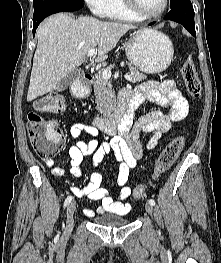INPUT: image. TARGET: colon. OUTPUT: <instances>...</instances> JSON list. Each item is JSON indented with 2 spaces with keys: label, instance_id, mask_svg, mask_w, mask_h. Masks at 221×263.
Returning <instances> with one entry per match:
<instances>
[{
  "label": "colon",
  "instance_id": "5ec220e1",
  "mask_svg": "<svg viewBox=\"0 0 221 263\" xmlns=\"http://www.w3.org/2000/svg\"><path fill=\"white\" fill-rule=\"evenodd\" d=\"M181 75L188 94L192 98H199L202 92V84L195 64L190 58H186L181 65ZM66 108L65 98L58 93H50L38 98L34 102V111L28 114L27 128L30 143L36 154L43 160L52 159L61 147L64 134L53 119H45L39 113H60ZM185 139L183 136L173 138L160 153L153 172L152 179L165 173L176 161ZM147 186L138 185L133 190V198L141 199L146 196Z\"/></svg>",
  "mask_w": 221,
  "mask_h": 263
}]
</instances>
